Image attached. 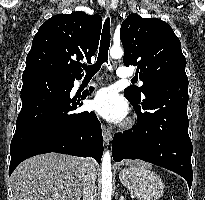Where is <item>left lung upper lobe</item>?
<instances>
[{
  "label": "left lung upper lobe",
  "mask_w": 205,
  "mask_h": 200,
  "mask_svg": "<svg viewBox=\"0 0 205 200\" xmlns=\"http://www.w3.org/2000/svg\"><path fill=\"white\" fill-rule=\"evenodd\" d=\"M120 39L125 66H137L142 87L130 86L125 96L139 101L151 85L170 80L188 81L186 59L173 29L161 19L129 15L122 23Z\"/></svg>",
  "instance_id": "1"
}]
</instances>
